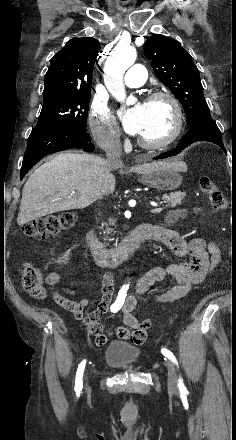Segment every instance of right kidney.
Segmentation results:
<instances>
[{
  "label": "right kidney",
  "mask_w": 236,
  "mask_h": 440,
  "mask_svg": "<svg viewBox=\"0 0 236 440\" xmlns=\"http://www.w3.org/2000/svg\"><path fill=\"white\" fill-rule=\"evenodd\" d=\"M68 255H69V252L65 253L63 259L67 260Z\"/></svg>",
  "instance_id": "right-kidney-1"
}]
</instances>
